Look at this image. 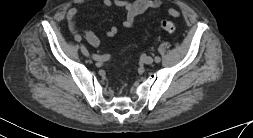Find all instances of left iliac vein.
Returning a JSON list of instances; mask_svg holds the SVG:
<instances>
[{
	"label": "left iliac vein",
	"mask_w": 253,
	"mask_h": 138,
	"mask_svg": "<svg viewBox=\"0 0 253 138\" xmlns=\"http://www.w3.org/2000/svg\"><path fill=\"white\" fill-rule=\"evenodd\" d=\"M144 63L145 64H152L153 63V58L151 56H146L144 57Z\"/></svg>",
	"instance_id": "obj_1"
}]
</instances>
